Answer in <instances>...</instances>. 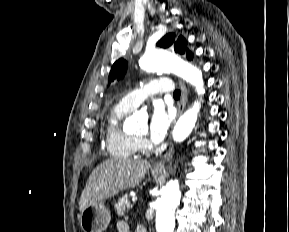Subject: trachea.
<instances>
[{
  "label": "trachea",
  "instance_id": "obj_1",
  "mask_svg": "<svg viewBox=\"0 0 289 232\" xmlns=\"http://www.w3.org/2000/svg\"><path fill=\"white\" fill-rule=\"evenodd\" d=\"M180 95H181L180 90H175L174 93H173V97L174 98H180Z\"/></svg>",
  "mask_w": 289,
  "mask_h": 232
}]
</instances>
